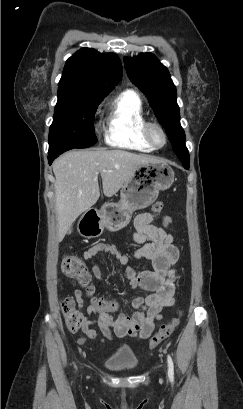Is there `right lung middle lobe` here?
<instances>
[{
	"instance_id": "1",
	"label": "right lung middle lobe",
	"mask_w": 243,
	"mask_h": 409,
	"mask_svg": "<svg viewBox=\"0 0 243 409\" xmlns=\"http://www.w3.org/2000/svg\"><path fill=\"white\" fill-rule=\"evenodd\" d=\"M102 98L58 93L54 120L49 131V150L87 148L97 142L94 115Z\"/></svg>"
}]
</instances>
